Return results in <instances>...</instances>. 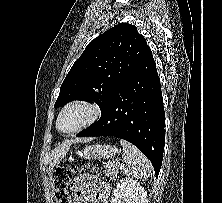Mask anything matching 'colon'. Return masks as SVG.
<instances>
[{"instance_id":"obj_1","label":"colon","mask_w":222,"mask_h":203,"mask_svg":"<svg viewBox=\"0 0 222 203\" xmlns=\"http://www.w3.org/2000/svg\"><path fill=\"white\" fill-rule=\"evenodd\" d=\"M53 187L57 203H73L71 198L72 172L69 168L64 166L55 168Z\"/></svg>"}]
</instances>
